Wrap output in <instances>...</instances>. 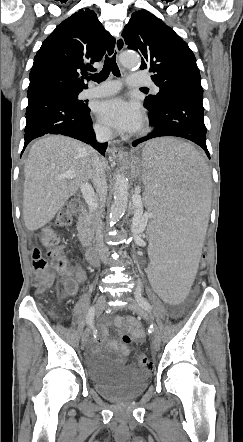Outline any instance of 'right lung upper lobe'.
<instances>
[{
    "label": "right lung upper lobe",
    "instance_id": "right-lung-upper-lobe-1",
    "mask_svg": "<svg viewBox=\"0 0 243 442\" xmlns=\"http://www.w3.org/2000/svg\"><path fill=\"white\" fill-rule=\"evenodd\" d=\"M115 39L90 9L79 10L62 21L44 40L30 72L28 91L42 87H58L82 91L83 79L92 64L104 54H112Z\"/></svg>",
    "mask_w": 243,
    "mask_h": 442
}]
</instances>
